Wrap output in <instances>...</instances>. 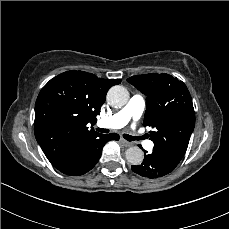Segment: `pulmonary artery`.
Masks as SVG:
<instances>
[{
	"label": "pulmonary artery",
	"mask_w": 229,
	"mask_h": 229,
	"mask_svg": "<svg viewBox=\"0 0 229 229\" xmlns=\"http://www.w3.org/2000/svg\"><path fill=\"white\" fill-rule=\"evenodd\" d=\"M145 109V100L144 97L140 94L134 95L126 105L116 112L110 119L108 120H99L97 122V126L101 128H111V129H118L126 124H128L130 121L133 122V124L138 121ZM146 148L148 150H152L153 143L147 142Z\"/></svg>",
	"instance_id": "1"
}]
</instances>
